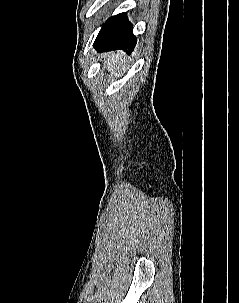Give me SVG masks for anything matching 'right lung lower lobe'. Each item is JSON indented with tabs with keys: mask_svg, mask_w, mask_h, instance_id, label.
I'll return each instance as SVG.
<instances>
[{
	"mask_svg": "<svg viewBox=\"0 0 239 303\" xmlns=\"http://www.w3.org/2000/svg\"><path fill=\"white\" fill-rule=\"evenodd\" d=\"M136 44V37L132 33V25L126 14L121 13L111 17L102 26L94 46L99 51L123 49L131 53Z\"/></svg>",
	"mask_w": 239,
	"mask_h": 303,
	"instance_id": "1",
	"label": "right lung lower lobe"
}]
</instances>
